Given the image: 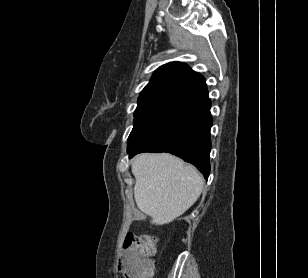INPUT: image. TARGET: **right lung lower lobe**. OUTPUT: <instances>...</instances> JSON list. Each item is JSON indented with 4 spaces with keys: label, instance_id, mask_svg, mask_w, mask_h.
I'll return each instance as SVG.
<instances>
[{
    "label": "right lung lower lobe",
    "instance_id": "obj_1",
    "mask_svg": "<svg viewBox=\"0 0 308 278\" xmlns=\"http://www.w3.org/2000/svg\"><path fill=\"white\" fill-rule=\"evenodd\" d=\"M211 101L198 102L186 112L174 117L155 135L128 151L130 156L141 152H169L195 164L207 179L210 174Z\"/></svg>",
    "mask_w": 308,
    "mask_h": 278
}]
</instances>
